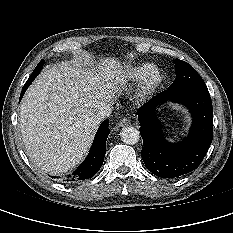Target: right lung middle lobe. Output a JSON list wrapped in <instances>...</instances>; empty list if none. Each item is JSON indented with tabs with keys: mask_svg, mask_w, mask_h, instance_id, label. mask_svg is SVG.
I'll list each match as a JSON object with an SVG mask.
<instances>
[{
	"mask_svg": "<svg viewBox=\"0 0 233 233\" xmlns=\"http://www.w3.org/2000/svg\"><path fill=\"white\" fill-rule=\"evenodd\" d=\"M43 64H44V60H41L39 64L36 66V68L34 69L30 77H34V76L36 77L41 71Z\"/></svg>",
	"mask_w": 233,
	"mask_h": 233,
	"instance_id": "1",
	"label": "right lung middle lobe"
}]
</instances>
